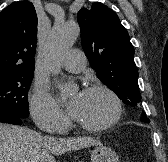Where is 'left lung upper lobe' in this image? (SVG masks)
I'll use <instances>...</instances> for the list:
<instances>
[{
    "mask_svg": "<svg viewBox=\"0 0 168 162\" xmlns=\"http://www.w3.org/2000/svg\"><path fill=\"white\" fill-rule=\"evenodd\" d=\"M83 50L103 84L112 89L123 103L138 106L141 95L134 47L117 14L100 2L77 14ZM141 120L146 119L142 114Z\"/></svg>",
    "mask_w": 168,
    "mask_h": 162,
    "instance_id": "1",
    "label": "left lung upper lobe"
}]
</instances>
